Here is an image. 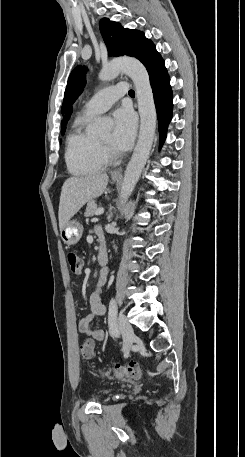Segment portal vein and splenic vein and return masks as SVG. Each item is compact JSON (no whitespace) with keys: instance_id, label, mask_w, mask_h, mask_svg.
Returning <instances> with one entry per match:
<instances>
[{"instance_id":"obj_1","label":"portal vein and splenic vein","mask_w":245,"mask_h":457,"mask_svg":"<svg viewBox=\"0 0 245 457\" xmlns=\"http://www.w3.org/2000/svg\"><path fill=\"white\" fill-rule=\"evenodd\" d=\"M104 208H97L95 214H103Z\"/></svg>"}]
</instances>
